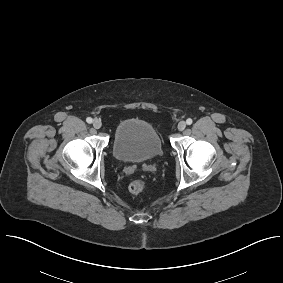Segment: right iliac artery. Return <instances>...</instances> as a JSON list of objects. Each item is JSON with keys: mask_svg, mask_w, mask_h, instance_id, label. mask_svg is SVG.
I'll return each instance as SVG.
<instances>
[{"mask_svg": "<svg viewBox=\"0 0 283 283\" xmlns=\"http://www.w3.org/2000/svg\"><path fill=\"white\" fill-rule=\"evenodd\" d=\"M86 121H87V123L91 124V123L93 122V119H92L91 117H88V118L86 119Z\"/></svg>", "mask_w": 283, "mask_h": 283, "instance_id": "obj_1", "label": "right iliac artery"}]
</instances>
